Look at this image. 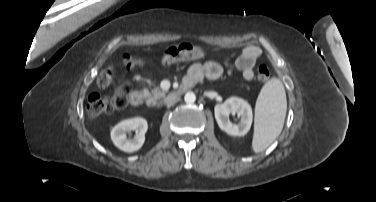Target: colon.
I'll return each instance as SVG.
<instances>
[{
	"label": "colon",
	"mask_w": 376,
	"mask_h": 202,
	"mask_svg": "<svg viewBox=\"0 0 376 202\" xmlns=\"http://www.w3.org/2000/svg\"><path fill=\"white\" fill-rule=\"evenodd\" d=\"M204 56L205 52L202 46L193 43H182L165 50L161 55V62L172 64L179 61L198 60ZM143 63L141 59L130 55H125L122 59V64L127 70H132ZM115 76L113 68L103 69L97 78V83L102 88L108 87L114 82ZM269 77V68L264 64L260 65L257 70L258 80L265 82ZM130 92L131 85L126 81H122L117 85L111 97H103L99 94L91 95L87 103L88 116L95 118L126 107Z\"/></svg>",
	"instance_id": "5ec220e1"
}]
</instances>
